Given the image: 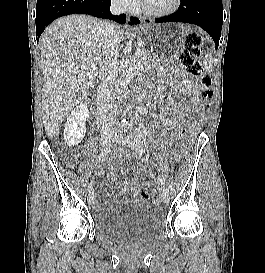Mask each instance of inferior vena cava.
<instances>
[{
    "instance_id": "602c4592",
    "label": "inferior vena cava",
    "mask_w": 265,
    "mask_h": 273,
    "mask_svg": "<svg viewBox=\"0 0 265 273\" xmlns=\"http://www.w3.org/2000/svg\"><path fill=\"white\" fill-rule=\"evenodd\" d=\"M127 2V0H112L111 13L119 15L124 12L127 8ZM100 27L104 47V60L99 72L100 84L98 87L96 105L101 134L107 135L114 132L112 94L118 75V50L115 43L118 26L113 23L101 21Z\"/></svg>"
}]
</instances>
